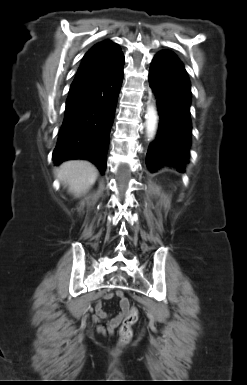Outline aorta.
<instances>
[{"label":"aorta","instance_id":"aorta-1","mask_svg":"<svg viewBox=\"0 0 247 385\" xmlns=\"http://www.w3.org/2000/svg\"><path fill=\"white\" fill-rule=\"evenodd\" d=\"M145 118H146V133L150 140L154 137L156 133L157 122H158L157 111L153 105H150L148 107Z\"/></svg>","mask_w":247,"mask_h":385}]
</instances>
